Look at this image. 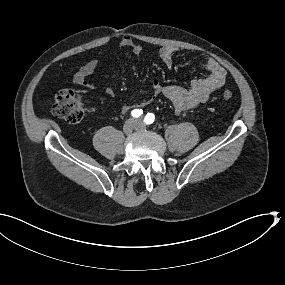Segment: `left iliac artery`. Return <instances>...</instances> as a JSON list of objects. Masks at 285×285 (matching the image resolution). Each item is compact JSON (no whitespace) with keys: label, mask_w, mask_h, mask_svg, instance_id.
<instances>
[{"label":"left iliac artery","mask_w":285,"mask_h":285,"mask_svg":"<svg viewBox=\"0 0 285 285\" xmlns=\"http://www.w3.org/2000/svg\"><path fill=\"white\" fill-rule=\"evenodd\" d=\"M154 119H155L154 114L148 113V114L145 116V118H144V122H145L146 124H151V123L154 122Z\"/></svg>","instance_id":"obj_1"}]
</instances>
